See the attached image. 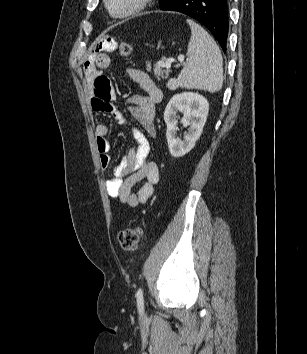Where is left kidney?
<instances>
[{
	"label": "left kidney",
	"instance_id": "5707ae66",
	"mask_svg": "<svg viewBox=\"0 0 307 354\" xmlns=\"http://www.w3.org/2000/svg\"><path fill=\"white\" fill-rule=\"evenodd\" d=\"M209 111V103L198 93L183 92L175 94L168 102L164 121L167 125L166 138L168 148L173 157H182L187 154L199 139L205 125ZM181 112V123L188 128L184 139L179 141L177 136V114Z\"/></svg>",
	"mask_w": 307,
	"mask_h": 354
}]
</instances>
